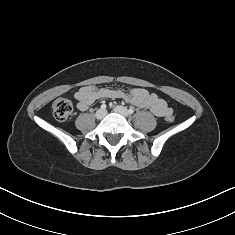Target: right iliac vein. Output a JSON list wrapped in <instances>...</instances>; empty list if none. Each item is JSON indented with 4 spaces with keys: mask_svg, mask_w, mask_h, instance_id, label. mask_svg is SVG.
<instances>
[{
    "mask_svg": "<svg viewBox=\"0 0 235 235\" xmlns=\"http://www.w3.org/2000/svg\"><path fill=\"white\" fill-rule=\"evenodd\" d=\"M106 115V111L103 110V109H99L97 110L96 114H95V117L98 119V120H101L105 117Z\"/></svg>",
    "mask_w": 235,
    "mask_h": 235,
    "instance_id": "right-iliac-vein-1",
    "label": "right iliac vein"
}]
</instances>
